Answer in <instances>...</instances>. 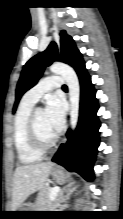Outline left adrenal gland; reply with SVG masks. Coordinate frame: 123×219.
Here are the masks:
<instances>
[{
    "mask_svg": "<svg viewBox=\"0 0 123 219\" xmlns=\"http://www.w3.org/2000/svg\"><path fill=\"white\" fill-rule=\"evenodd\" d=\"M73 184H74V183H73ZM73 184L67 185L65 188H63V190L60 191V193H59V195H58V196H59V199H57V200H59L58 206H60V203H61V202H64V201L68 198L69 194H70L73 190H75L76 186H74V187L71 188V186H72ZM64 192H67V195H66V196H64ZM64 206H65V205H62L61 207H64Z\"/></svg>",
    "mask_w": 123,
    "mask_h": 219,
    "instance_id": "obj_1",
    "label": "left adrenal gland"
}]
</instances>
